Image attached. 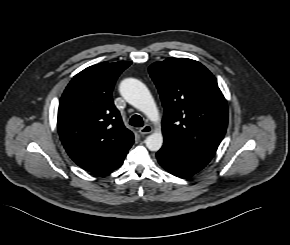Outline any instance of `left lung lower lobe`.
Segmentation results:
<instances>
[{
  "mask_svg": "<svg viewBox=\"0 0 290 245\" xmlns=\"http://www.w3.org/2000/svg\"><path fill=\"white\" fill-rule=\"evenodd\" d=\"M156 156L159 164L165 170L180 178L194 175L212 159L166 142Z\"/></svg>",
  "mask_w": 290,
  "mask_h": 245,
  "instance_id": "left-lung-lower-lobe-1",
  "label": "left lung lower lobe"
}]
</instances>
